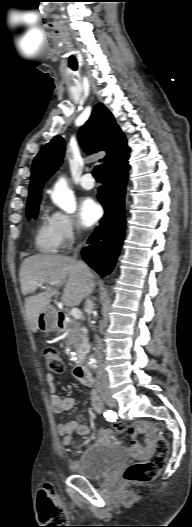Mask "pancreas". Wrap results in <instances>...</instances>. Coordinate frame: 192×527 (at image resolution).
<instances>
[{"instance_id":"1","label":"pancreas","mask_w":192,"mask_h":527,"mask_svg":"<svg viewBox=\"0 0 192 527\" xmlns=\"http://www.w3.org/2000/svg\"><path fill=\"white\" fill-rule=\"evenodd\" d=\"M65 331L67 334V341L70 345H73L77 351H80L86 341V332L80 323L71 321L66 325Z\"/></svg>"}]
</instances>
